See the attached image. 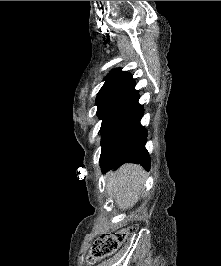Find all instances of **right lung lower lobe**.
Returning <instances> with one entry per match:
<instances>
[{
	"label": "right lung lower lobe",
	"instance_id": "right-lung-lower-lobe-1",
	"mask_svg": "<svg viewBox=\"0 0 221 266\" xmlns=\"http://www.w3.org/2000/svg\"><path fill=\"white\" fill-rule=\"evenodd\" d=\"M139 97L125 114L111 136L102 144L100 164L102 169H117L132 162L150 168V157L145 148L147 131L141 126L143 107Z\"/></svg>",
	"mask_w": 221,
	"mask_h": 266
}]
</instances>
